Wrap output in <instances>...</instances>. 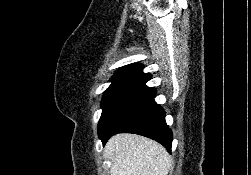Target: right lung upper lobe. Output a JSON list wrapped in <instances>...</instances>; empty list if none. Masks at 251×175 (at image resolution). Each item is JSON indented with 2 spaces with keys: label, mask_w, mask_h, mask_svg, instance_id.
I'll list each match as a JSON object with an SVG mask.
<instances>
[{
  "label": "right lung upper lobe",
  "mask_w": 251,
  "mask_h": 175,
  "mask_svg": "<svg viewBox=\"0 0 251 175\" xmlns=\"http://www.w3.org/2000/svg\"><path fill=\"white\" fill-rule=\"evenodd\" d=\"M143 67L142 64L138 63L124 66L116 71L112 78L128 77L136 79L137 81H148L151 78V74L143 73Z\"/></svg>",
  "instance_id": "right-lung-upper-lobe-1"
}]
</instances>
